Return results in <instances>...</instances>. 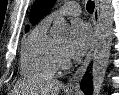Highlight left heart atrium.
I'll return each mask as SVG.
<instances>
[{
    "instance_id": "left-heart-atrium-1",
    "label": "left heart atrium",
    "mask_w": 119,
    "mask_h": 95,
    "mask_svg": "<svg viewBox=\"0 0 119 95\" xmlns=\"http://www.w3.org/2000/svg\"><path fill=\"white\" fill-rule=\"evenodd\" d=\"M91 40L90 26L82 20H75L71 25L70 37L65 47L66 55L69 58L80 57L88 48Z\"/></svg>"
}]
</instances>
